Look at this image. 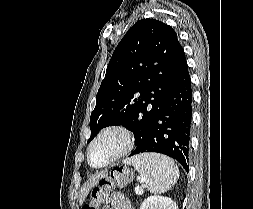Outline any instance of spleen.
<instances>
[{
  "mask_svg": "<svg viewBox=\"0 0 253 209\" xmlns=\"http://www.w3.org/2000/svg\"><path fill=\"white\" fill-rule=\"evenodd\" d=\"M140 173L153 194H161L176 184L179 170L172 159L157 153H143L124 161Z\"/></svg>",
  "mask_w": 253,
  "mask_h": 209,
  "instance_id": "obj_1",
  "label": "spleen"
}]
</instances>
